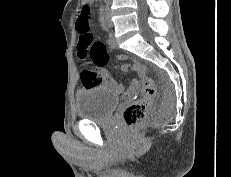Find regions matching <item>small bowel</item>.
Wrapping results in <instances>:
<instances>
[{
	"instance_id": "small-bowel-1",
	"label": "small bowel",
	"mask_w": 231,
	"mask_h": 177,
	"mask_svg": "<svg viewBox=\"0 0 231 177\" xmlns=\"http://www.w3.org/2000/svg\"><path fill=\"white\" fill-rule=\"evenodd\" d=\"M90 2H93V0H84V3H83V6L84 5H88V3ZM107 44L111 47H114L115 46V41H114V37L112 36V34L108 33L107 34ZM120 60H125L127 59V56L126 55H120L118 57ZM104 66V65H103ZM103 66H98V71H97V74L99 75V82L96 83V84H87L85 82V80L83 79L82 77V82L85 86H93V85H97V84H104L106 85L107 87L109 88H112L114 90H116L117 92L119 93H123V94H126V95H129V94H132L134 93L137 88L139 87V82L137 80H134L130 87L125 90L123 85L118 81L116 80L114 77H112L110 75V73L104 69ZM129 69H132L133 71L137 72L139 74V76H143L145 74V67L143 64L141 63H134L132 66H130L129 64H124L122 65V71L124 72H127Z\"/></svg>"
}]
</instances>
